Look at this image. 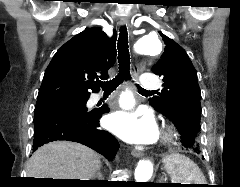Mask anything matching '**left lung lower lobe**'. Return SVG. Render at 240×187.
Listing matches in <instances>:
<instances>
[{"instance_id": "left-lung-lower-lobe-1", "label": "left lung lower lobe", "mask_w": 240, "mask_h": 187, "mask_svg": "<svg viewBox=\"0 0 240 187\" xmlns=\"http://www.w3.org/2000/svg\"><path fill=\"white\" fill-rule=\"evenodd\" d=\"M181 134V142L182 144L191 150L199 153V142L198 137L195 132L191 128H181L176 126Z\"/></svg>"}]
</instances>
